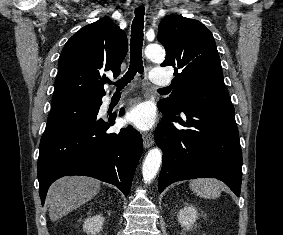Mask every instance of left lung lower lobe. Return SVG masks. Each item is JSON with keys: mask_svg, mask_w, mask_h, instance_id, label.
Returning <instances> with one entry per match:
<instances>
[{"mask_svg": "<svg viewBox=\"0 0 283 235\" xmlns=\"http://www.w3.org/2000/svg\"><path fill=\"white\" fill-rule=\"evenodd\" d=\"M159 109L165 115L155 131V142L163 150L159 192L176 181L214 177L239 196L242 151L233 105H188L180 110L183 116Z\"/></svg>", "mask_w": 283, "mask_h": 235, "instance_id": "1", "label": "left lung lower lobe"}]
</instances>
